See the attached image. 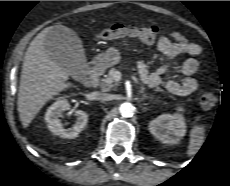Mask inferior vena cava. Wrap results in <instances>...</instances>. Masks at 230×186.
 <instances>
[{
  "label": "inferior vena cava",
  "instance_id": "obj_1",
  "mask_svg": "<svg viewBox=\"0 0 230 186\" xmlns=\"http://www.w3.org/2000/svg\"><path fill=\"white\" fill-rule=\"evenodd\" d=\"M93 95H94V99L99 101H109L111 99V95L108 93L94 92Z\"/></svg>",
  "mask_w": 230,
  "mask_h": 186
}]
</instances>
